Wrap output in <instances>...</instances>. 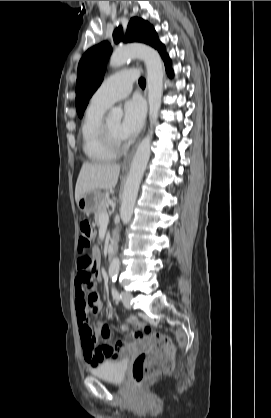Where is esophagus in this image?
Segmentation results:
<instances>
[{"mask_svg":"<svg viewBox=\"0 0 271 418\" xmlns=\"http://www.w3.org/2000/svg\"><path fill=\"white\" fill-rule=\"evenodd\" d=\"M139 141H140V140H139ZM139 141L136 143L135 147L132 149V151L129 153V155H128L125 159H124V161H123V166H124V167H126V166H129V165H130L131 160H132V157H133L134 152H135V150H136V148H137V146H138Z\"/></svg>","mask_w":271,"mask_h":418,"instance_id":"1","label":"esophagus"}]
</instances>
